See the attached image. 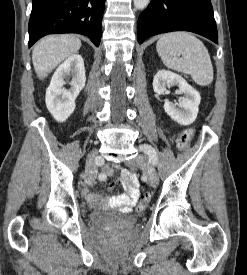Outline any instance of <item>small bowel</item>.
Here are the masks:
<instances>
[{
    "label": "small bowel",
    "mask_w": 247,
    "mask_h": 275,
    "mask_svg": "<svg viewBox=\"0 0 247 275\" xmlns=\"http://www.w3.org/2000/svg\"><path fill=\"white\" fill-rule=\"evenodd\" d=\"M104 170L105 174L109 176L113 174V168L111 166H105ZM118 170L125 192L110 198L108 205L110 207L119 208L124 212H128L133 206L136 205L138 201L140 195L139 182L136 175L132 172L122 168H118ZM84 193L87 201L91 205L99 206L103 204L104 199L100 194H97L88 189H86Z\"/></svg>",
    "instance_id": "small-bowel-1"
}]
</instances>
